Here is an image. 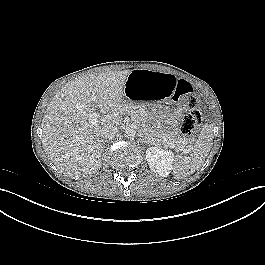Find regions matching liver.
Wrapping results in <instances>:
<instances>
[{"label":"liver","instance_id":"1","mask_svg":"<svg viewBox=\"0 0 265 265\" xmlns=\"http://www.w3.org/2000/svg\"><path fill=\"white\" fill-rule=\"evenodd\" d=\"M130 73L109 71L76 78L50 101L42 119V146L66 176L90 175L101 168V130L118 118L107 117L95 126L88 122L89 116L96 107L104 114L118 109Z\"/></svg>","mask_w":265,"mask_h":265}]
</instances>
